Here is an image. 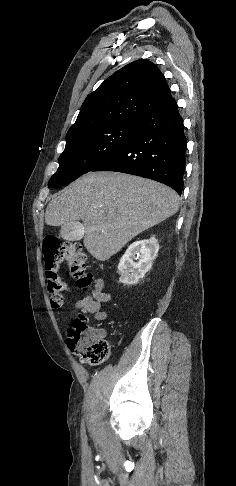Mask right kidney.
Segmentation results:
<instances>
[{
  "label": "right kidney",
  "mask_w": 236,
  "mask_h": 486,
  "mask_svg": "<svg viewBox=\"0 0 236 486\" xmlns=\"http://www.w3.org/2000/svg\"><path fill=\"white\" fill-rule=\"evenodd\" d=\"M158 251L159 244L155 237L132 243L118 264L119 281L131 286L138 283L151 269Z\"/></svg>",
  "instance_id": "obj_1"
}]
</instances>
